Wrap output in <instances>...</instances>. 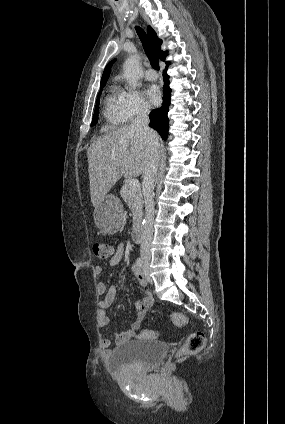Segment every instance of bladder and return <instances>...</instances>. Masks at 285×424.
Returning a JSON list of instances; mask_svg holds the SVG:
<instances>
[{"mask_svg": "<svg viewBox=\"0 0 285 424\" xmlns=\"http://www.w3.org/2000/svg\"><path fill=\"white\" fill-rule=\"evenodd\" d=\"M168 351L169 346L166 343L135 339L116 347L109 359V365L118 372L134 368L151 369L161 363Z\"/></svg>", "mask_w": 285, "mask_h": 424, "instance_id": "1", "label": "bladder"}]
</instances>
